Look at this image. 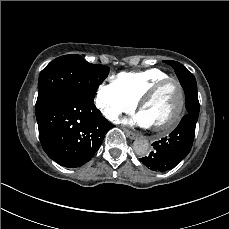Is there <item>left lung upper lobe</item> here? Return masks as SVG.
Wrapping results in <instances>:
<instances>
[{
  "mask_svg": "<svg viewBox=\"0 0 229 229\" xmlns=\"http://www.w3.org/2000/svg\"><path fill=\"white\" fill-rule=\"evenodd\" d=\"M164 62L174 68L182 87L193 86L196 84L195 77L182 64L171 60H165Z\"/></svg>",
  "mask_w": 229,
  "mask_h": 229,
  "instance_id": "left-lung-upper-lobe-1",
  "label": "left lung upper lobe"
}]
</instances>
